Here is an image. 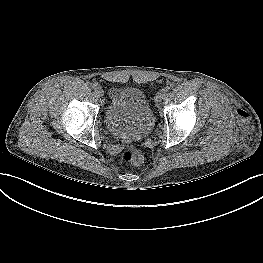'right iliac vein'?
<instances>
[{
	"instance_id": "1",
	"label": "right iliac vein",
	"mask_w": 263,
	"mask_h": 263,
	"mask_svg": "<svg viewBox=\"0 0 263 263\" xmlns=\"http://www.w3.org/2000/svg\"><path fill=\"white\" fill-rule=\"evenodd\" d=\"M96 95H97L98 97L103 96V90L101 89V87H100L99 90H96Z\"/></svg>"
}]
</instances>
